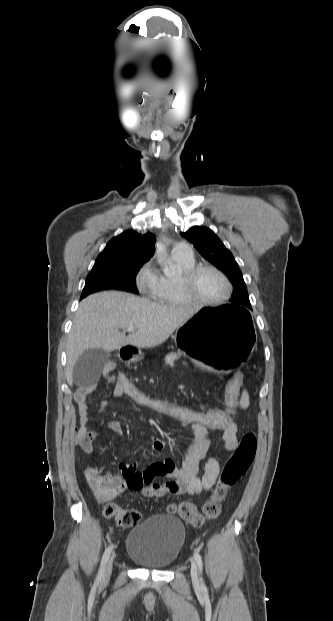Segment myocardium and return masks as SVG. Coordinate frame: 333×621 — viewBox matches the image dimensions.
Returning <instances> with one entry per match:
<instances>
[{
  "label": "myocardium",
  "instance_id": "1",
  "mask_svg": "<svg viewBox=\"0 0 333 621\" xmlns=\"http://www.w3.org/2000/svg\"><path fill=\"white\" fill-rule=\"evenodd\" d=\"M203 271H212L219 275L227 286L226 294L218 300H204L199 298L194 292L196 278ZM180 286L184 296L191 304L201 306H219L225 304L233 293V284L227 275L219 268L213 265L203 264L196 265L188 271L184 272L180 278Z\"/></svg>",
  "mask_w": 333,
  "mask_h": 621
}]
</instances>
